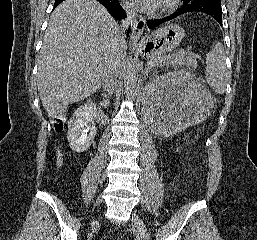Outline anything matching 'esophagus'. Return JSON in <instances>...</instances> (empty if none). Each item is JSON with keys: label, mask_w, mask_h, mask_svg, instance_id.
Masks as SVG:
<instances>
[{"label": "esophagus", "mask_w": 257, "mask_h": 240, "mask_svg": "<svg viewBox=\"0 0 257 240\" xmlns=\"http://www.w3.org/2000/svg\"><path fill=\"white\" fill-rule=\"evenodd\" d=\"M144 27H145V19L144 18L140 17L139 19H137L134 22V25H133V28L131 31V35H130V39L132 42H134V43L138 42V40L140 39V37L143 33Z\"/></svg>", "instance_id": "1"}]
</instances>
